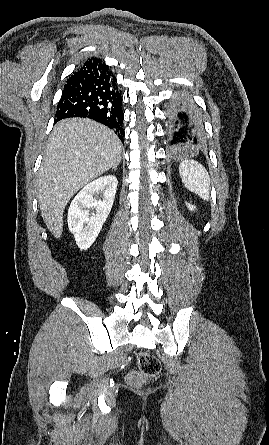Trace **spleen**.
Returning <instances> with one entry per match:
<instances>
[{
  "label": "spleen",
  "instance_id": "1",
  "mask_svg": "<svg viewBox=\"0 0 269 445\" xmlns=\"http://www.w3.org/2000/svg\"><path fill=\"white\" fill-rule=\"evenodd\" d=\"M184 186L202 199L209 200L210 177L207 170L198 162L185 160L179 166Z\"/></svg>",
  "mask_w": 269,
  "mask_h": 445
}]
</instances>
